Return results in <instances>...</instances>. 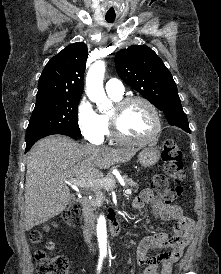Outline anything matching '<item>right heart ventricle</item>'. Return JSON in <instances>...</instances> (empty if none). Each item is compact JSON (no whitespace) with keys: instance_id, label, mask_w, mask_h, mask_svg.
I'll return each instance as SVG.
<instances>
[{"instance_id":"e07e8e85","label":"right heart ventricle","mask_w":221,"mask_h":274,"mask_svg":"<svg viewBox=\"0 0 221 274\" xmlns=\"http://www.w3.org/2000/svg\"><path fill=\"white\" fill-rule=\"evenodd\" d=\"M110 98L117 102L119 101L120 99H122V96H115V95H111L109 94ZM103 121H104V124H105V135H110L111 134V131H110V124H109V118H108V115L106 114H102L101 115Z\"/></svg>"}]
</instances>
